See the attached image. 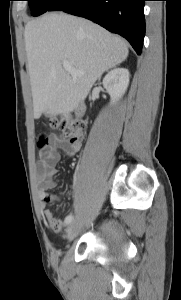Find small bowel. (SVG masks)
Here are the masks:
<instances>
[{
  "instance_id": "c3829d8e",
  "label": "small bowel",
  "mask_w": 181,
  "mask_h": 300,
  "mask_svg": "<svg viewBox=\"0 0 181 300\" xmlns=\"http://www.w3.org/2000/svg\"><path fill=\"white\" fill-rule=\"evenodd\" d=\"M64 148L63 141L57 135H50L47 144L42 150V157L36 165V178L40 202L44 207L43 214L51 229L56 232L61 231L62 221L56 218L53 211L46 206L57 197L50 196L48 190L55 187L54 177L57 174V163L61 159V149ZM78 151L77 146H73L67 151L69 155H74Z\"/></svg>"
}]
</instances>
